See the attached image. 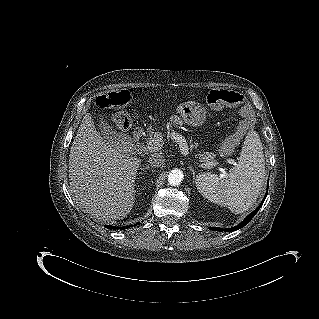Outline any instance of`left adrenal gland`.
Segmentation results:
<instances>
[{
    "instance_id": "1",
    "label": "left adrenal gland",
    "mask_w": 319,
    "mask_h": 319,
    "mask_svg": "<svg viewBox=\"0 0 319 319\" xmlns=\"http://www.w3.org/2000/svg\"><path fill=\"white\" fill-rule=\"evenodd\" d=\"M189 169H190V171L192 172L193 177H195V171H194L193 167L189 165Z\"/></svg>"
}]
</instances>
